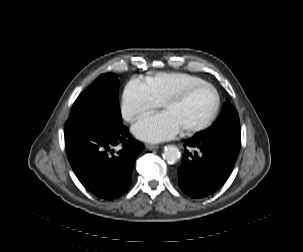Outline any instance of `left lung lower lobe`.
Here are the masks:
<instances>
[{
  "label": "left lung lower lobe",
  "mask_w": 303,
  "mask_h": 252,
  "mask_svg": "<svg viewBox=\"0 0 303 252\" xmlns=\"http://www.w3.org/2000/svg\"><path fill=\"white\" fill-rule=\"evenodd\" d=\"M186 144L194 151L185 149L178 169L180 188L192 198H202L218 190L235 164L240 144L207 140L194 137Z\"/></svg>",
  "instance_id": "obj_1"
}]
</instances>
